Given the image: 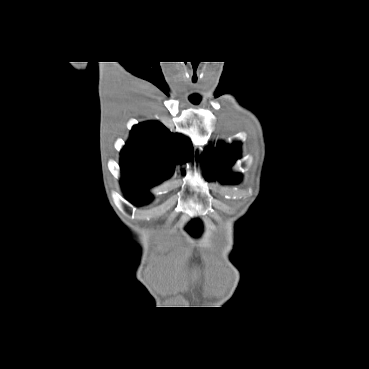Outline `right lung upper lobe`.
Instances as JSON below:
<instances>
[{"label": "right lung upper lobe", "mask_w": 369, "mask_h": 369, "mask_svg": "<svg viewBox=\"0 0 369 369\" xmlns=\"http://www.w3.org/2000/svg\"><path fill=\"white\" fill-rule=\"evenodd\" d=\"M191 158L193 150L186 137L171 133L158 121L140 123L132 128L121 151V184L134 193L151 197L143 188L167 179L176 164Z\"/></svg>", "instance_id": "obj_1"}]
</instances>
